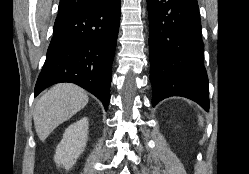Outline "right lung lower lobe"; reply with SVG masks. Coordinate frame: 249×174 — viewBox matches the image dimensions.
<instances>
[{"mask_svg": "<svg viewBox=\"0 0 249 174\" xmlns=\"http://www.w3.org/2000/svg\"><path fill=\"white\" fill-rule=\"evenodd\" d=\"M120 8L121 0H115L56 19L35 96L53 84L71 82L94 94L108 109Z\"/></svg>", "mask_w": 249, "mask_h": 174, "instance_id": "obj_1", "label": "right lung lower lobe"}]
</instances>
